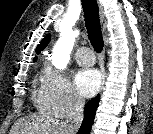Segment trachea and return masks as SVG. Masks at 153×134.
Listing matches in <instances>:
<instances>
[{"instance_id":"3493384b","label":"trachea","mask_w":153,"mask_h":134,"mask_svg":"<svg viewBox=\"0 0 153 134\" xmlns=\"http://www.w3.org/2000/svg\"><path fill=\"white\" fill-rule=\"evenodd\" d=\"M85 26L88 38L92 47L97 53L103 49L104 42L102 38L101 25L99 19V9L96 0H82Z\"/></svg>"}]
</instances>
